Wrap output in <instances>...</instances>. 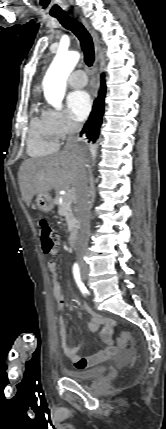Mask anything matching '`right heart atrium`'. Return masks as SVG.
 <instances>
[{"label":"right heart atrium","mask_w":166,"mask_h":429,"mask_svg":"<svg viewBox=\"0 0 166 429\" xmlns=\"http://www.w3.org/2000/svg\"><path fill=\"white\" fill-rule=\"evenodd\" d=\"M43 117L57 140L65 139L79 129L78 124L73 122L63 111L48 109L43 113Z\"/></svg>","instance_id":"right-heart-atrium-1"}]
</instances>
